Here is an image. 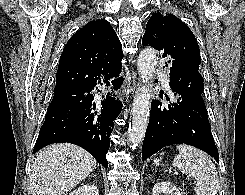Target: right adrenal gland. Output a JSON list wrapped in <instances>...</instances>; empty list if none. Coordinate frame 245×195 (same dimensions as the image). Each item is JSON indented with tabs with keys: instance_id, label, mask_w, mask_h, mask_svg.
<instances>
[{
	"instance_id": "1",
	"label": "right adrenal gland",
	"mask_w": 245,
	"mask_h": 195,
	"mask_svg": "<svg viewBox=\"0 0 245 195\" xmlns=\"http://www.w3.org/2000/svg\"><path fill=\"white\" fill-rule=\"evenodd\" d=\"M95 176H96V174L95 173H92L90 177H95Z\"/></svg>"
}]
</instances>
